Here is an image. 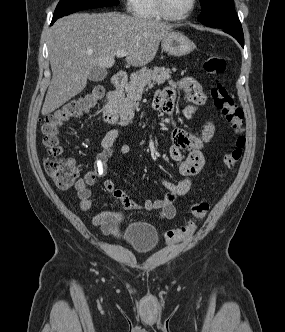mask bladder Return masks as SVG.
I'll return each mask as SVG.
<instances>
[{"instance_id":"31cf9c89","label":"bladder","mask_w":285,"mask_h":332,"mask_svg":"<svg viewBox=\"0 0 285 332\" xmlns=\"http://www.w3.org/2000/svg\"><path fill=\"white\" fill-rule=\"evenodd\" d=\"M123 221L121 214L109 213L104 217L101 229L105 234L123 240L137 253H148L158 245V232L151 224L134 222L122 230Z\"/></svg>"}]
</instances>
